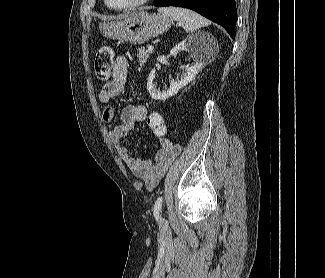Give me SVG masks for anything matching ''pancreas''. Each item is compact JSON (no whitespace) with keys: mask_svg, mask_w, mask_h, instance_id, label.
<instances>
[{"mask_svg":"<svg viewBox=\"0 0 325 278\" xmlns=\"http://www.w3.org/2000/svg\"><path fill=\"white\" fill-rule=\"evenodd\" d=\"M152 54V51L141 47L137 50V57L139 60L140 65H144L147 62V59Z\"/></svg>","mask_w":325,"mask_h":278,"instance_id":"cf45deb5","label":"pancreas"}]
</instances>
